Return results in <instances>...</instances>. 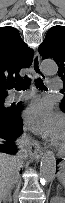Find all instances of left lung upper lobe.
<instances>
[{"instance_id": "5c2ea615", "label": "left lung upper lobe", "mask_w": 65, "mask_h": 203, "mask_svg": "<svg viewBox=\"0 0 65 203\" xmlns=\"http://www.w3.org/2000/svg\"><path fill=\"white\" fill-rule=\"evenodd\" d=\"M38 50L43 58H53L55 60L59 66L58 75L63 78L65 89V26L57 25L50 28ZM60 107L65 112V97Z\"/></svg>"}]
</instances>
